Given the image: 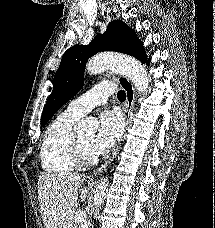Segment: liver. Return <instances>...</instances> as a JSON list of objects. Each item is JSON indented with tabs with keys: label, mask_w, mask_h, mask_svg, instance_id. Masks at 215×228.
<instances>
[{
	"label": "liver",
	"mask_w": 215,
	"mask_h": 228,
	"mask_svg": "<svg viewBox=\"0 0 215 228\" xmlns=\"http://www.w3.org/2000/svg\"><path fill=\"white\" fill-rule=\"evenodd\" d=\"M85 176L81 174H43L38 180V202L45 228H73V214L77 206L78 188ZM88 188L81 192V202Z\"/></svg>",
	"instance_id": "1"
}]
</instances>
